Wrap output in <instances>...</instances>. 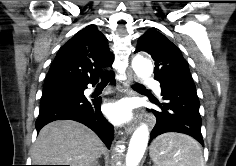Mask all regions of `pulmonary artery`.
Listing matches in <instances>:
<instances>
[{"mask_svg": "<svg viewBox=\"0 0 236 166\" xmlns=\"http://www.w3.org/2000/svg\"><path fill=\"white\" fill-rule=\"evenodd\" d=\"M145 83L148 84V85L154 86L156 94L159 95V96L161 95V88H160L159 84L156 81L151 80V79H147L145 81Z\"/></svg>", "mask_w": 236, "mask_h": 166, "instance_id": "1", "label": "pulmonary artery"}]
</instances>
